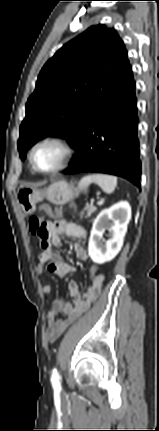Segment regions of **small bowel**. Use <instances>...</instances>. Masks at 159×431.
<instances>
[{
    "label": "small bowel",
    "instance_id": "c3829d8e",
    "mask_svg": "<svg viewBox=\"0 0 159 431\" xmlns=\"http://www.w3.org/2000/svg\"><path fill=\"white\" fill-rule=\"evenodd\" d=\"M43 235H38L41 244L39 263L37 272L43 273L46 269L57 277H65L73 272L75 268L66 262L59 254L53 251V247L61 246V236L66 235L71 238H85L86 231L83 227L68 222L64 219L45 221ZM75 253L78 258L86 260L88 258L86 250L75 245ZM97 267V266H96ZM91 274V272H90ZM94 282H91L86 292H81L78 283L71 280L68 290L71 302L55 300L47 315V336L49 342H54L62 333L86 311L98 298L101 292L103 276L95 273ZM52 290L50 285L44 287L45 293Z\"/></svg>",
    "mask_w": 159,
    "mask_h": 431
}]
</instances>
